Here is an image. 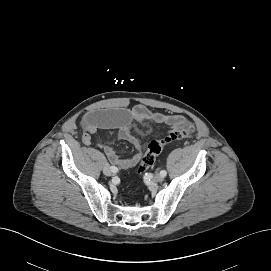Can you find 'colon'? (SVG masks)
<instances>
[{
  "mask_svg": "<svg viewBox=\"0 0 271 271\" xmlns=\"http://www.w3.org/2000/svg\"><path fill=\"white\" fill-rule=\"evenodd\" d=\"M193 132V125L191 123H185L180 128L172 131L166 137L162 139H153L149 142L145 154L141 157L138 171L144 172L150 168L156 159V157L162 152L165 145L170 142L183 139L189 136Z\"/></svg>",
  "mask_w": 271,
  "mask_h": 271,
  "instance_id": "obj_1",
  "label": "colon"
}]
</instances>
